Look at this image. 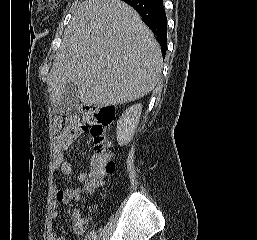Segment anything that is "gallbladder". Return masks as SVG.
<instances>
[{"label": "gallbladder", "instance_id": "obj_1", "mask_svg": "<svg viewBox=\"0 0 257 240\" xmlns=\"http://www.w3.org/2000/svg\"><path fill=\"white\" fill-rule=\"evenodd\" d=\"M80 104L77 94V87L74 83H70L66 87L64 97L54 104V111L60 115H69L74 112Z\"/></svg>", "mask_w": 257, "mask_h": 240}]
</instances>
